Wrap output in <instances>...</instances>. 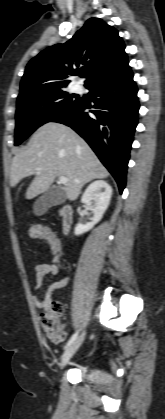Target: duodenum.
Wrapping results in <instances>:
<instances>
[{
    "label": "duodenum",
    "instance_id": "duodenum-1",
    "mask_svg": "<svg viewBox=\"0 0 165 419\" xmlns=\"http://www.w3.org/2000/svg\"><path fill=\"white\" fill-rule=\"evenodd\" d=\"M73 222V210L71 205L65 204L60 210V224L63 234H68Z\"/></svg>",
    "mask_w": 165,
    "mask_h": 419
}]
</instances>
